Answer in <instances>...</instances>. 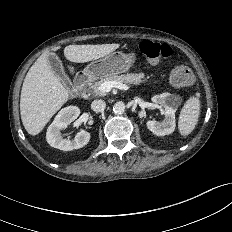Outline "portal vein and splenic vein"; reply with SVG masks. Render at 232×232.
<instances>
[{"mask_svg":"<svg viewBox=\"0 0 232 232\" xmlns=\"http://www.w3.org/2000/svg\"><path fill=\"white\" fill-rule=\"evenodd\" d=\"M118 88L120 90H125L127 88L126 84L117 81H108L101 84L99 89L103 92H110L111 89Z\"/></svg>","mask_w":232,"mask_h":232,"instance_id":"18ae733b","label":"portal vein and splenic vein"}]
</instances>
